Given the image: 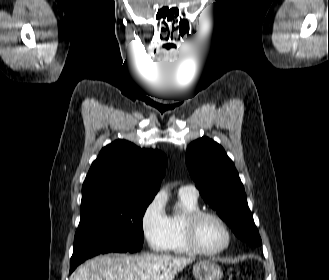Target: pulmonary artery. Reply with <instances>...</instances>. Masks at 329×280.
Here are the masks:
<instances>
[{"label":"pulmonary artery","mask_w":329,"mask_h":280,"mask_svg":"<svg viewBox=\"0 0 329 280\" xmlns=\"http://www.w3.org/2000/svg\"><path fill=\"white\" fill-rule=\"evenodd\" d=\"M180 193L187 194L193 198H198L199 191L198 189L193 185H184L179 189Z\"/></svg>","instance_id":"e3ab8cb5"}]
</instances>
